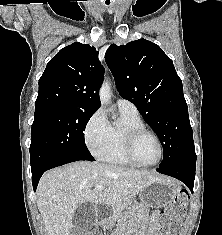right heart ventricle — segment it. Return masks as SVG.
Wrapping results in <instances>:
<instances>
[{
	"mask_svg": "<svg viewBox=\"0 0 222 235\" xmlns=\"http://www.w3.org/2000/svg\"><path fill=\"white\" fill-rule=\"evenodd\" d=\"M120 122L109 126V139L107 145L99 154V158L105 162L130 165L123 152V134L130 127H143L144 123L140 115L120 111Z\"/></svg>",
	"mask_w": 222,
	"mask_h": 235,
	"instance_id": "e07e8e85",
	"label": "right heart ventricle"
}]
</instances>
